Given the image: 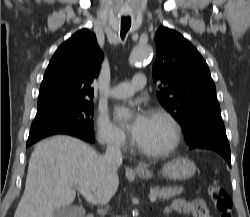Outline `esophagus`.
Masks as SVG:
<instances>
[{
	"label": "esophagus",
	"instance_id": "obj_1",
	"mask_svg": "<svg viewBox=\"0 0 250 217\" xmlns=\"http://www.w3.org/2000/svg\"><path fill=\"white\" fill-rule=\"evenodd\" d=\"M136 170L139 171V170H141V168H140V167H137Z\"/></svg>",
	"mask_w": 250,
	"mask_h": 217
}]
</instances>
